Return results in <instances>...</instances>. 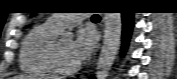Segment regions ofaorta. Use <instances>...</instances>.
Instances as JSON below:
<instances>
[{"label": "aorta", "mask_w": 177, "mask_h": 79, "mask_svg": "<svg viewBox=\"0 0 177 79\" xmlns=\"http://www.w3.org/2000/svg\"><path fill=\"white\" fill-rule=\"evenodd\" d=\"M104 25L103 46L97 63V79H107L116 58L121 42V13H105ZM71 36L72 34L69 32L65 34V37Z\"/></svg>", "instance_id": "obj_1"}]
</instances>
